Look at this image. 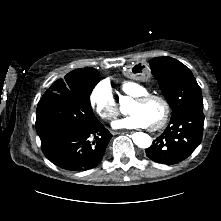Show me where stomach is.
I'll return each mask as SVG.
<instances>
[{
    "mask_svg": "<svg viewBox=\"0 0 221 221\" xmlns=\"http://www.w3.org/2000/svg\"><path fill=\"white\" fill-rule=\"evenodd\" d=\"M125 75L130 80L145 82L150 79L152 70L144 61L130 62L125 67Z\"/></svg>",
    "mask_w": 221,
    "mask_h": 221,
    "instance_id": "stomach-1",
    "label": "stomach"
}]
</instances>
